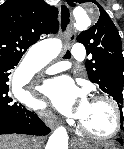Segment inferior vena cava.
I'll use <instances>...</instances> for the list:
<instances>
[{
    "mask_svg": "<svg viewBox=\"0 0 124 149\" xmlns=\"http://www.w3.org/2000/svg\"><path fill=\"white\" fill-rule=\"evenodd\" d=\"M37 139H32V145H36Z\"/></svg>",
    "mask_w": 124,
    "mask_h": 149,
    "instance_id": "inferior-vena-cava-1",
    "label": "inferior vena cava"
}]
</instances>
